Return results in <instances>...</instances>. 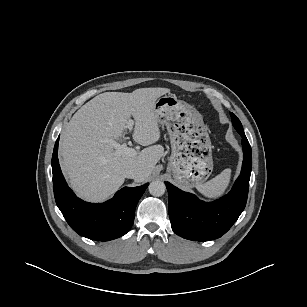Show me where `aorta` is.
I'll list each match as a JSON object with an SVG mask.
<instances>
[{
	"mask_svg": "<svg viewBox=\"0 0 307 307\" xmlns=\"http://www.w3.org/2000/svg\"><path fill=\"white\" fill-rule=\"evenodd\" d=\"M148 189L151 195L159 197L165 193L166 186L164 182L159 181V180H154L149 184Z\"/></svg>",
	"mask_w": 307,
	"mask_h": 307,
	"instance_id": "762f6f07",
	"label": "aorta"
}]
</instances>
